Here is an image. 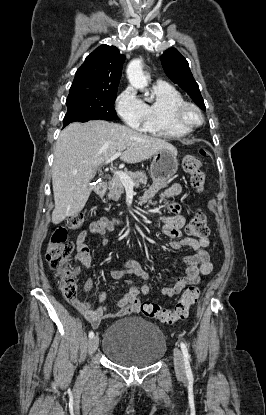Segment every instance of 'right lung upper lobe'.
<instances>
[{
  "instance_id": "cb5924a9",
  "label": "right lung upper lobe",
  "mask_w": 266,
  "mask_h": 415,
  "mask_svg": "<svg viewBox=\"0 0 266 415\" xmlns=\"http://www.w3.org/2000/svg\"><path fill=\"white\" fill-rule=\"evenodd\" d=\"M124 60L115 46H99L76 71L69 93L117 91Z\"/></svg>"
}]
</instances>
